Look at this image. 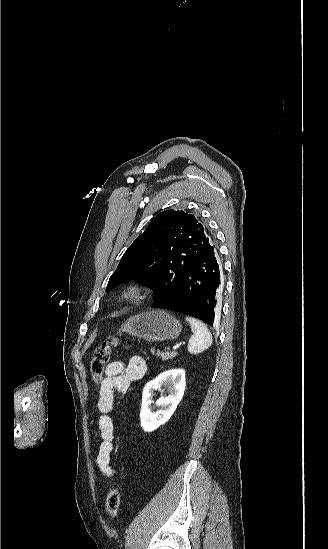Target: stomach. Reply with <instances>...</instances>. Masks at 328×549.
Masks as SVG:
<instances>
[{
  "instance_id": "1",
  "label": "stomach",
  "mask_w": 328,
  "mask_h": 549,
  "mask_svg": "<svg viewBox=\"0 0 328 549\" xmlns=\"http://www.w3.org/2000/svg\"><path fill=\"white\" fill-rule=\"evenodd\" d=\"M181 331V323L163 309H152V311H144L129 317L119 329V333H128L132 337L144 339L149 343L177 339Z\"/></svg>"
}]
</instances>
